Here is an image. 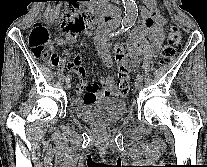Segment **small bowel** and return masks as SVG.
I'll return each instance as SVG.
<instances>
[{
    "mask_svg": "<svg viewBox=\"0 0 207 167\" xmlns=\"http://www.w3.org/2000/svg\"><path fill=\"white\" fill-rule=\"evenodd\" d=\"M164 24L165 19L152 4H149L143 11V25L134 27L130 33L127 40L128 53L126 54L124 52L122 45L118 44L114 47L115 58L120 64V67L126 71H131L139 66L141 55L145 48L146 39L150 41V44L147 47L148 56H157L164 39ZM79 32L86 33L83 28H79L74 34L71 35L69 40L74 41ZM57 43L63 44L65 43V40L63 38H58ZM95 44L98 49V55L102 59L103 63L108 68H113L114 63L105 28H101L98 31L95 37ZM70 69L72 71H76L80 77V82L75 89L76 97L71 99L72 104L78 105L84 102L95 101L107 96L121 95V91L115 85L114 78L111 76L102 77L100 79L101 86L95 82L87 85L83 80L86 76V69L81 57L76 59L74 65L70 66Z\"/></svg>",
    "mask_w": 207,
    "mask_h": 167,
    "instance_id": "c3829d8e",
    "label": "small bowel"
}]
</instances>
